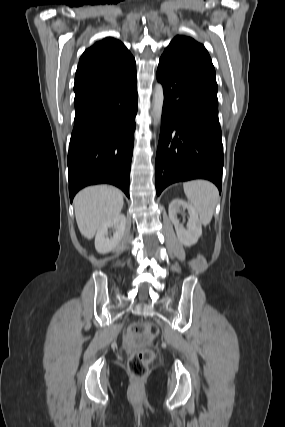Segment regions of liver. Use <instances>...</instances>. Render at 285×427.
<instances>
[{
    "mask_svg": "<svg viewBox=\"0 0 285 427\" xmlns=\"http://www.w3.org/2000/svg\"><path fill=\"white\" fill-rule=\"evenodd\" d=\"M123 203L122 193L110 186H91L81 190L74 198V208L82 236L92 239L100 226L120 214Z\"/></svg>",
    "mask_w": 285,
    "mask_h": 427,
    "instance_id": "liver-1",
    "label": "liver"
}]
</instances>
